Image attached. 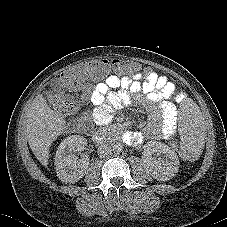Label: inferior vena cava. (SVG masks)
I'll return each instance as SVG.
<instances>
[{"instance_id":"602c4592","label":"inferior vena cava","mask_w":227,"mask_h":227,"mask_svg":"<svg viewBox=\"0 0 227 227\" xmlns=\"http://www.w3.org/2000/svg\"><path fill=\"white\" fill-rule=\"evenodd\" d=\"M112 153V148L108 143H102L98 148V155L101 158L110 156Z\"/></svg>"}]
</instances>
